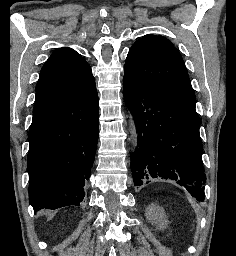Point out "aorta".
<instances>
[{"mask_svg": "<svg viewBox=\"0 0 236 256\" xmlns=\"http://www.w3.org/2000/svg\"><path fill=\"white\" fill-rule=\"evenodd\" d=\"M127 117H128L130 141H131L132 149L134 151V150H136V147L138 146V133H137L133 115L131 113H129Z\"/></svg>", "mask_w": 236, "mask_h": 256, "instance_id": "aorta-1", "label": "aorta"}]
</instances>
